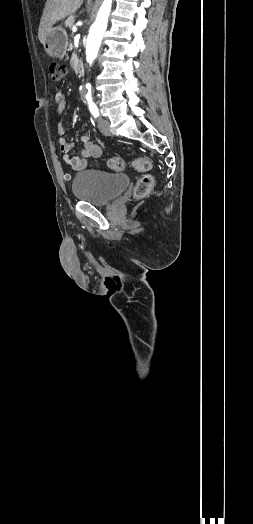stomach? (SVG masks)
Returning <instances> with one entry per match:
<instances>
[{
    "mask_svg": "<svg viewBox=\"0 0 253 524\" xmlns=\"http://www.w3.org/2000/svg\"><path fill=\"white\" fill-rule=\"evenodd\" d=\"M68 46V35L61 26L51 27L46 36L44 48L53 58H63Z\"/></svg>",
    "mask_w": 253,
    "mask_h": 524,
    "instance_id": "1",
    "label": "stomach"
}]
</instances>
